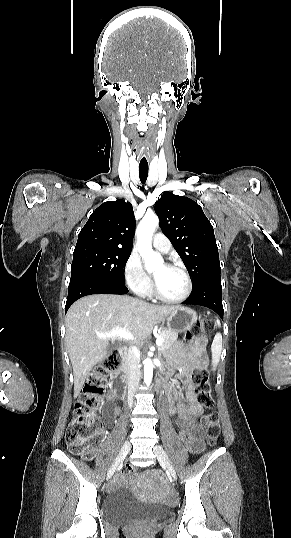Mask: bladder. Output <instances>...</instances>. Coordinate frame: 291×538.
<instances>
[{
	"label": "bladder",
	"mask_w": 291,
	"mask_h": 538,
	"mask_svg": "<svg viewBox=\"0 0 291 538\" xmlns=\"http://www.w3.org/2000/svg\"><path fill=\"white\" fill-rule=\"evenodd\" d=\"M103 512L105 519L112 524H124L135 518L157 519L167 514L163 506L139 501L124 486L105 498Z\"/></svg>",
	"instance_id": "1"
}]
</instances>
